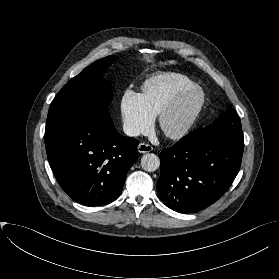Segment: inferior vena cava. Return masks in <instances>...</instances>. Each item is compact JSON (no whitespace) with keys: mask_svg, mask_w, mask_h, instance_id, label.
<instances>
[{"mask_svg":"<svg viewBox=\"0 0 279 279\" xmlns=\"http://www.w3.org/2000/svg\"><path fill=\"white\" fill-rule=\"evenodd\" d=\"M124 133L128 136H138L140 134V130L133 124L126 123L123 126Z\"/></svg>","mask_w":279,"mask_h":279,"instance_id":"602c4592","label":"inferior vena cava"}]
</instances>
